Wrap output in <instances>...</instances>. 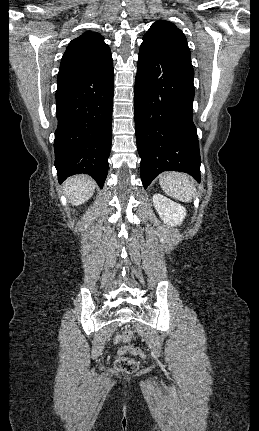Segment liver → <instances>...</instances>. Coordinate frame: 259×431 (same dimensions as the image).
Here are the masks:
<instances>
[{"label": "liver", "instance_id": "obj_1", "mask_svg": "<svg viewBox=\"0 0 259 431\" xmlns=\"http://www.w3.org/2000/svg\"><path fill=\"white\" fill-rule=\"evenodd\" d=\"M96 183L86 175H75L65 181L64 191L72 205H80L93 195Z\"/></svg>", "mask_w": 259, "mask_h": 431}]
</instances>
